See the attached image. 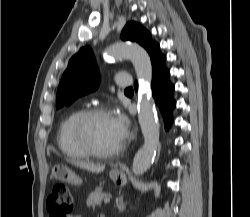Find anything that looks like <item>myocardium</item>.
I'll return each instance as SVG.
<instances>
[{
	"instance_id": "1",
	"label": "myocardium",
	"mask_w": 250,
	"mask_h": 217,
	"mask_svg": "<svg viewBox=\"0 0 250 217\" xmlns=\"http://www.w3.org/2000/svg\"><path fill=\"white\" fill-rule=\"evenodd\" d=\"M108 110L101 106H96L85 110L77 119L74 127V133L79 145L90 155L95 157H113L121 153L124 149V144L111 149L103 150L98 148L91 140L89 134L90 122L102 115H107Z\"/></svg>"
}]
</instances>
